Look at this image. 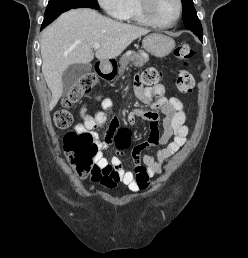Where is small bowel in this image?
Returning a JSON list of instances; mask_svg holds the SVG:
<instances>
[{
    "label": "small bowel",
    "instance_id": "obj_1",
    "mask_svg": "<svg viewBox=\"0 0 248 258\" xmlns=\"http://www.w3.org/2000/svg\"><path fill=\"white\" fill-rule=\"evenodd\" d=\"M138 98L145 104H152V111L133 110L128 115V120L133 123L136 118L141 117L150 121V137L148 141L136 145L132 151L131 158L136 167L134 171L124 169L122 161L114 156L110 162L98 152L95 163L105 169L111 176H99L101 184L107 187H114L118 182L126 185L131 191L146 190L149 186L151 177L158 175L162 171V165L172 157L186 142L188 127L185 124V112L182 101L177 97L167 98L165 89L162 85L153 87H136ZM153 97L156 101L152 103ZM100 101L102 110L94 115L87 114V108L83 107L80 111L82 121L77 123L75 131L89 132L95 140L99 150L105 149L113 140L116 131L119 128L120 121L114 116L108 121L105 111L111 109L113 102L110 98L97 96ZM164 115L163 132L158 133V113ZM108 123V130L104 140H100L96 129ZM172 139V140H171ZM171 140V141H170ZM163 145L156 158L152 155L144 154L151 145ZM142 163V164H141ZM115 171L117 176H112L111 172ZM93 183L92 181L90 182Z\"/></svg>",
    "mask_w": 248,
    "mask_h": 258
}]
</instances>
